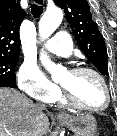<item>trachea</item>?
I'll return each mask as SVG.
<instances>
[{
  "label": "trachea",
  "instance_id": "obj_1",
  "mask_svg": "<svg viewBox=\"0 0 117 136\" xmlns=\"http://www.w3.org/2000/svg\"><path fill=\"white\" fill-rule=\"evenodd\" d=\"M31 13L35 18H38L43 13V6L32 4L31 5Z\"/></svg>",
  "mask_w": 117,
  "mask_h": 136
}]
</instances>
